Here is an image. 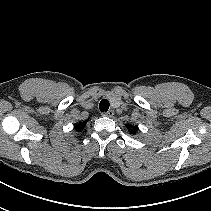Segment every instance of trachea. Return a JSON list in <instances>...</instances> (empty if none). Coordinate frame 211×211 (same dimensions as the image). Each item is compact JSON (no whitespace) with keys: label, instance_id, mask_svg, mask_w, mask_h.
Wrapping results in <instances>:
<instances>
[{"label":"trachea","instance_id":"trachea-1","mask_svg":"<svg viewBox=\"0 0 211 211\" xmlns=\"http://www.w3.org/2000/svg\"><path fill=\"white\" fill-rule=\"evenodd\" d=\"M109 101L106 99L101 100L100 104H99V109L101 112H107L109 109Z\"/></svg>","mask_w":211,"mask_h":211}]
</instances>
